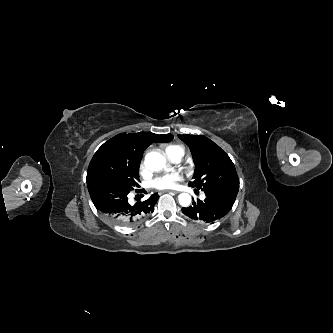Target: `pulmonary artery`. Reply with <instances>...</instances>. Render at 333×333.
Listing matches in <instances>:
<instances>
[{"instance_id":"1","label":"pulmonary artery","mask_w":333,"mask_h":333,"mask_svg":"<svg viewBox=\"0 0 333 333\" xmlns=\"http://www.w3.org/2000/svg\"><path fill=\"white\" fill-rule=\"evenodd\" d=\"M183 155H184L183 152L177 151V152L169 154L168 158L174 163H179L182 160ZM203 198H204V196H203Z\"/></svg>"}]
</instances>
